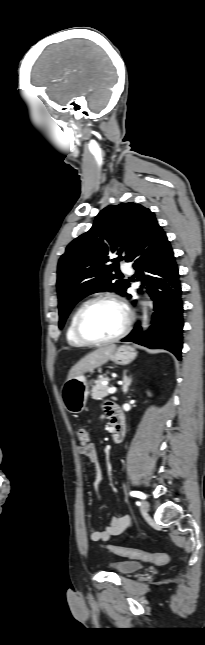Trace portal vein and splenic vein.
I'll list each match as a JSON object with an SVG mask.
<instances>
[{
  "mask_svg": "<svg viewBox=\"0 0 205 645\" xmlns=\"http://www.w3.org/2000/svg\"><path fill=\"white\" fill-rule=\"evenodd\" d=\"M116 390H117V388H116V387H111V388H109L108 392H109L110 394H114V393L116 392Z\"/></svg>",
  "mask_w": 205,
  "mask_h": 645,
  "instance_id": "1",
  "label": "portal vein and splenic vein"
}]
</instances>
